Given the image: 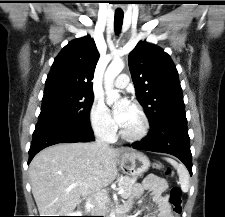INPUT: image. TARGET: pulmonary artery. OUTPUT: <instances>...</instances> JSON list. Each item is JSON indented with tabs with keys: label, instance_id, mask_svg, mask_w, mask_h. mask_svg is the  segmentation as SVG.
Returning <instances> with one entry per match:
<instances>
[{
	"label": "pulmonary artery",
	"instance_id": "1",
	"mask_svg": "<svg viewBox=\"0 0 225 217\" xmlns=\"http://www.w3.org/2000/svg\"><path fill=\"white\" fill-rule=\"evenodd\" d=\"M129 84V77L126 74H120L114 81V85L118 88H125Z\"/></svg>",
	"mask_w": 225,
	"mask_h": 217
}]
</instances>
